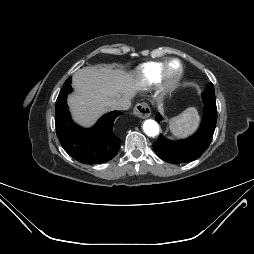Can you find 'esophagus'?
<instances>
[{
    "label": "esophagus",
    "instance_id": "34e87169",
    "mask_svg": "<svg viewBox=\"0 0 254 254\" xmlns=\"http://www.w3.org/2000/svg\"><path fill=\"white\" fill-rule=\"evenodd\" d=\"M134 114L139 118H148L151 115V109L145 102L137 103L134 107Z\"/></svg>",
    "mask_w": 254,
    "mask_h": 254
}]
</instances>
